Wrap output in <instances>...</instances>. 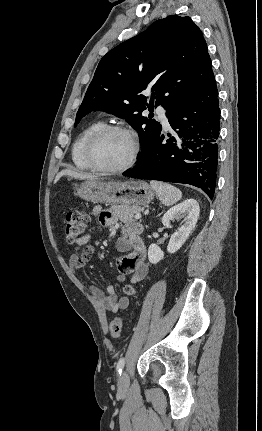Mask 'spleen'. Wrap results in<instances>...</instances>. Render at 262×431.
<instances>
[{"label": "spleen", "instance_id": "spleen-1", "mask_svg": "<svg viewBox=\"0 0 262 431\" xmlns=\"http://www.w3.org/2000/svg\"><path fill=\"white\" fill-rule=\"evenodd\" d=\"M150 185L165 206H172L182 198V192L171 184L152 180Z\"/></svg>", "mask_w": 262, "mask_h": 431}]
</instances>
